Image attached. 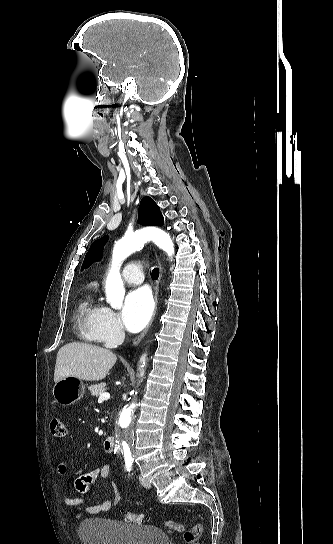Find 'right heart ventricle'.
<instances>
[{
    "label": "right heart ventricle",
    "mask_w": 333,
    "mask_h": 544,
    "mask_svg": "<svg viewBox=\"0 0 333 544\" xmlns=\"http://www.w3.org/2000/svg\"><path fill=\"white\" fill-rule=\"evenodd\" d=\"M101 306L95 304L91 299L83 301L78 309V322L83 338L90 341H99L96 331V321Z\"/></svg>",
    "instance_id": "e07e8e85"
}]
</instances>
